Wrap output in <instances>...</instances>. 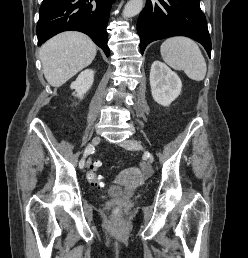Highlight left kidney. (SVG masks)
Returning <instances> with one entry per match:
<instances>
[{
	"mask_svg": "<svg viewBox=\"0 0 248 258\" xmlns=\"http://www.w3.org/2000/svg\"><path fill=\"white\" fill-rule=\"evenodd\" d=\"M150 86L153 99L162 106H169L180 95L182 89L178 75L159 60L152 63Z\"/></svg>",
	"mask_w": 248,
	"mask_h": 258,
	"instance_id": "5707ae66",
	"label": "left kidney"
}]
</instances>
